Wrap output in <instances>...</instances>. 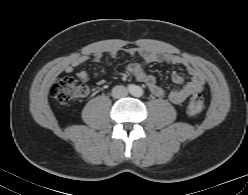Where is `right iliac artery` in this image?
<instances>
[{
	"mask_svg": "<svg viewBox=\"0 0 248 195\" xmlns=\"http://www.w3.org/2000/svg\"><path fill=\"white\" fill-rule=\"evenodd\" d=\"M133 88H134V85H133V84H129V85H128V89H129V90H132Z\"/></svg>",
	"mask_w": 248,
	"mask_h": 195,
	"instance_id": "obj_1",
	"label": "right iliac artery"
}]
</instances>
